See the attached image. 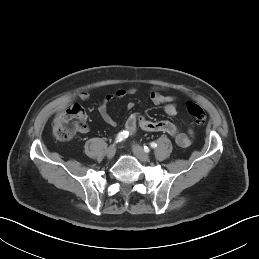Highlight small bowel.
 <instances>
[{"label":"small bowel","mask_w":259,"mask_h":259,"mask_svg":"<svg viewBox=\"0 0 259 259\" xmlns=\"http://www.w3.org/2000/svg\"><path fill=\"white\" fill-rule=\"evenodd\" d=\"M166 88L160 86L150 87L148 93L149 97L154 104H164V113L169 117H174L177 115V106L175 104V96L166 95L164 92ZM136 92L134 87L130 88H119L114 93L108 94L101 104L99 105V113L103 121L110 125L115 126V119L108 112V105L113 98H124L128 95H132ZM77 98L82 101H86L90 98V93L87 91H81L78 93ZM141 128L147 132H160L165 133L173 138L175 143L183 148L189 147L193 139V130L191 127H188L186 132H180L176 125L168 120L160 121H150L147 120L144 116L138 113L131 114L125 122V130L128 132V135H133L137 128ZM82 132H87L88 127L85 125L82 129Z\"/></svg>","instance_id":"obj_1"}]
</instances>
